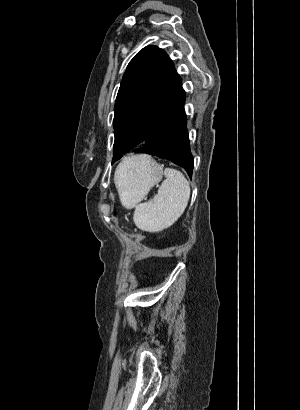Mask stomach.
Returning a JSON list of instances; mask_svg holds the SVG:
<instances>
[{
	"instance_id": "stomach-1",
	"label": "stomach",
	"mask_w": 300,
	"mask_h": 410,
	"mask_svg": "<svg viewBox=\"0 0 300 410\" xmlns=\"http://www.w3.org/2000/svg\"><path fill=\"white\" fill-rule=\"evenodd\" d=\"M136 166L129 169L126 175L127 187L120 196L122 204L132 208L140 202L159 183L163 177L162 165L156 163L149 156H137Z\"/></svg>"
}]
</instances>
